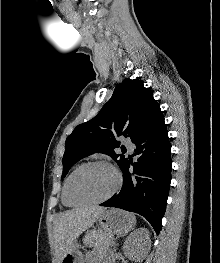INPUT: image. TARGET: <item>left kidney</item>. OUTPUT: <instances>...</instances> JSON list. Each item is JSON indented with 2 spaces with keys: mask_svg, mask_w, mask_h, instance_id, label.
<instances>
[{
  "mask_svg": "<svg viewBox=\"0 0 220 263\" xmlns=\"http://www.w3.org/2000/svg\"><path fill=\"white\" fill-rule=\"evenodd\" d=\"M151 248L149 230L138 228L134 230L125 240L123 253L130 260L142 261Z\"/></svg>",
  "mask_w": 220,
  "mask_h": 263,
  "instance_id": "5707ae66",
  "label": "left kidney"
}]
</instances>
